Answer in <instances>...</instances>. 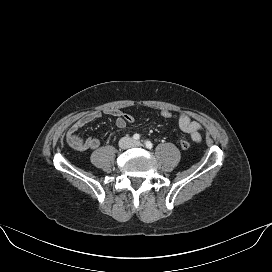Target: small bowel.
Instances as JSON below:
<instances>
[{
    "label": "small bowel",
    "instance_id": "c3829d8e",
    "mask_svg": "<svg viewBox=\"0 0 272 272\" xmlns=\"http://www.w3.org/2000/svg\"><path fill=\"white\" fill-rule=\"evenodd\" d=\"M105 114L115 117V125L117 128H125L127 123L123 118V113L118 109H108L104 112ZM103 112L93 111L89 112L80 118H78L68 129L66 134L67 143L78 151L95 150L99 147L100 141L97 138L89 137L82 138L78 135L80 129L85 127L87 124L101 118ZM178 126L181 131L187 133L190 139L196 143L201 142V130L202 126L199 122L193 120L189 115L180 113L178 115Z\"/></svg>",
    "mask_w": 272,
    "mask_h": 272
}]
</instances>
